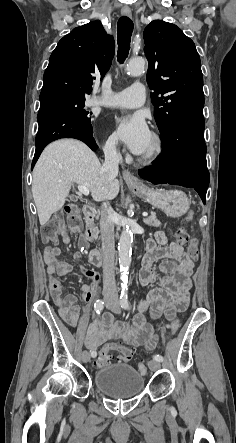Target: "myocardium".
I'll list each match as a JSON object with an SVG mask.
<instances>
[{
  "label": "myocardium",
  "instance_id": "myocardium-1",
  "mask_svg": "<svg viewBox=\"0 0 236 443\" xmlns=\"http://www.w3.org/2000/svg\"><path fill=\"white\" fill-rule=\"evenodd\" d=\"M151 138H152L151 149L139 155V160L143 164H152L156 162L164 152V143L161 136L157 132H151Z\"/></svg>",
  "mask_w": 236,
  "mask_h": 443
}]
</instances>
